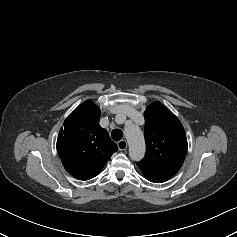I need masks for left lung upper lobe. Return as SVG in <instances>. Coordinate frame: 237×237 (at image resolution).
Masks as SVG:
<instances>
[{
	"instance_id": "obj_1",
	"label": "left lung upper lobe",
	"mask_w": 237,
	"mask_h": 237,
	"mask_svg": "<svg viewBox=\"0 0 237 237\" xmlns=\"http://www.w3.org/2000/svg\"><path fill=\"white\" fill-rule=\"evenodd\" d=\"M146 154L138 162L145 177L164 182L181 168L187 139L179 119L162 103L156 102L145 111Z\"/></svg>"
}]
</instances>
